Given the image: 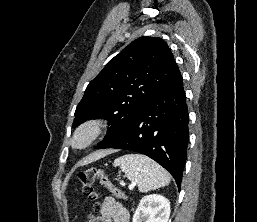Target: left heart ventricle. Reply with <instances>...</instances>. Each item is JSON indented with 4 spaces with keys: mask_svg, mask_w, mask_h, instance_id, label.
<instances>
[{
    "mask_svg": "<svg viewBox=\"0 0 257 222\" xmlns=\"http://www.w3.org/2000/svg\"><path fill=\"white\" fill-rule=\"evenodd\" d=\"M82 140H83V138L79 139V141H78V142L80 143V142H82Z\"/></svg>",
    "mask_w": 257,
    "mask_h": 222,
    "instance_id": "1",
    "label": "left heart ventricle"
}]
</instances>
